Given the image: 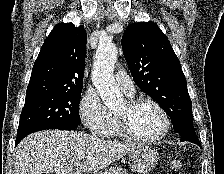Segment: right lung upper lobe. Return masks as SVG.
I'll use <instances>...</instances> for the list:
<instances>
[{
  "instance_id": "right-lung-upper-lobe-1",
  "label": "right lung upper lobe",
  "mask_w": 224,
  "mask_h": 174,
  "mask_svg": "<svg viewBox=\"0 0 224 174\" xmlns=\"http://www.w3.org/2000/svg\"><path fill=\"white\" fill-rule=\"evenodd\" d=\"M86 40L83 26L57 24L34 63L26 95L82 90Z\"/></svg>"
}]
</instances>
